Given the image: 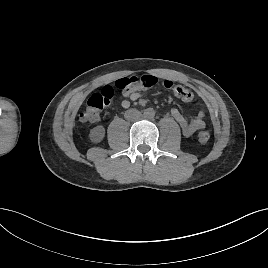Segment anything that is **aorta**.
<instances>
[{"label":"aorta","mask_w":268,"mask_h":268,"mask_svg":"<svg viewBox=\"0 0 268 268\" xmlns=\"http://www.w3.org/2000/svg\"><path fill=\"white\" fill-rule=\"evenodd\" d=\"M143 115L146 119H152L155 116V111L153 108H147L144 110Z\"/></svg>","instance_id":"762f6f07"}]
</instances>
